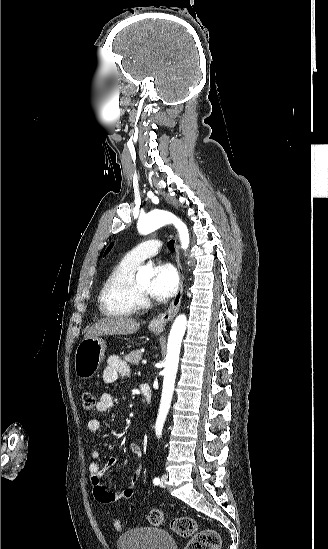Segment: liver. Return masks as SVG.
Instances as JSON below:
<instances>
[{
    "label": "liver",
    "mask_w": 328,
    "mask_h": 549,
    "mask_svg": "<svg viewBox=\"0 0 328 549\" xmlns=\"http://www.w3.org/2000/svg\"><path fill=\"white\" fill-rule=\"evenodd\" d=\"M140 329V323L131 317H104L94 323L88 329L85 339L91 337H102V335H133Z\"/></svg>",
    "instance_id": "1"
}]
</instances>
